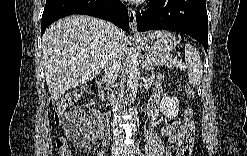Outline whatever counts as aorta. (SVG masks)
Instances as JSON below:
<instances>
[{
    "label": "aorta",
    "mask_w": 247,
    "mask_h": 156,
    "mask_svg": "<svg viewBox=\"0 0 247 156\" xmlns=\"http://www.w3.org/2000/svg\"><path fill=\"white\" fill-rule=\"evenodd\" d=\"M138 58L136 54V49L132 47L126 58V74H127V85L132 100L136 97L138 91V81L140 77V72L138 68Z\"/></svg>",
    "instance_id": "762f6f07"
}]
</instances>
